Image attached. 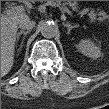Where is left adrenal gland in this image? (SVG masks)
I'll return each instance as SVG.
<instances>
[{
	"instance_id": "1",
	"label": "left adrenal gland",
	"mask_w": 109,
	"mask_h": 109,
	"mask_svg": "<svg viewBox=\"0 0 109 109\" xmlns=\"http://www.w3.org/2000/svg\"><path fill=\"white\" fill-rule=\"evenodd\" d=\"M63 26H65V27L68 28V32H67L68 34H70V32H71V30H72L73 28H77V27H78L77 24L71 25V24H69V23H63Z\"/></svg>"
}]
</instances>
